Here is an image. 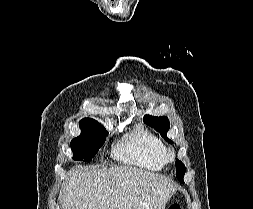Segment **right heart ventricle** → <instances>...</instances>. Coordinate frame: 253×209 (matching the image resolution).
Returning <instances> with one entry per match:
<instances>
[{"mask_svg":"<svg viewBox=\"0 0 253 209\" xmlns=\"http://www.w3.org/2000/svg\"><path fill=\"white\" fill-rule=\"evenodd\" d=\"M164 149L161 139L146 126L138 123L115 146L114 154L129 164L160 170L166 165Z\"/></svg>","mask_w":253,"mask_h":209,"instance_id":"1","label":"right heart ventricle"}]
</instances>
